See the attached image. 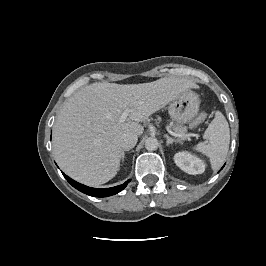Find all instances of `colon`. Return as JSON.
<instances>
[{
	"label": "colon",
	"mask_w": 266,
	"mask_h": 266,
	"mask_svg": "<svg viewBox=\"0 0 266 266\" xmlns=\"http://www.w3.org/2000/svg\"><path fill=\"white\" fill-rule=\"evenodd\" d=\"M207 115L205 113L199 114L194 120H192L189 124L191 128H195L202 124L206 120Z\"/></svg>",
	"instance_id": "obj_1"
}]
</instances>
